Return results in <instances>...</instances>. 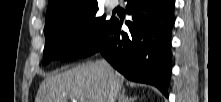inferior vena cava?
<instances>
[{
	"instance_id": "obj_1",
	"label": "inferior vena cava",
	"mask_w": 221,
	"mask_h": 102,
	"mask_svg": "<svg viewBox=\"0 0 221 102\" xmlns=\"http://www.w3.org/2000/svg\"><path fill=\"white\" fill-rule=\"evenodd\" d=\"M101 66H104L107 68L110 77H111V88H110V93L108 96V102H115V97L117 95V91L114 85V79H113V75H112V70L111 67L109 66V64L106 62V60L102 59L98 62Z\"/></svg>"
}]
</instances>
